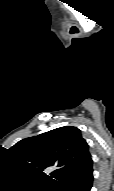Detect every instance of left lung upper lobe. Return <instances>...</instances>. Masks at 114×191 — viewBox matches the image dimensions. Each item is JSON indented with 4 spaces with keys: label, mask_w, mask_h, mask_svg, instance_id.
I'll list each match as a JSON object with an SVG mask.
<instances>
[{
    "label": "left lung upper lobe",
    "mask_w": 114,
    "mask_h": 191,
    "mask_svg": "<svg viewBox=\"0 0 114 191\" xmlns=\"http://www.w3.org/2000/svg\"><path fill=\"white\" fill-rule=\"evenodd\" d=\"M24 170L60 191L91 158L77 127H60L25 138L9 149Z\"/></svg>",
    "instance_id": "left-lung-upper-lobe-1"
}]
</instances>
